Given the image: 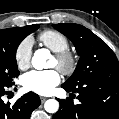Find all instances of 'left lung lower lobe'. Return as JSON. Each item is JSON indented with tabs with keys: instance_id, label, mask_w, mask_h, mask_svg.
Masks as SVG:
<instances>
[{
	"instance_id": "1",
	"label": "left lung lower lobe",
	"mask_w": 119,
	"mask_h": 119,
	"mask_svg": "<svg viewBox=\"0 0 119 119\" xmlns=\"http://www.w3.org/2000/svg\"><path fill=\"white\" fill-rule=\"evenodd\" d=\"M62 87L77 92L79 104L72 99H57L60 108L53 119H119V81H98L80 87Z\"/></svg>"
}]
</instances>
